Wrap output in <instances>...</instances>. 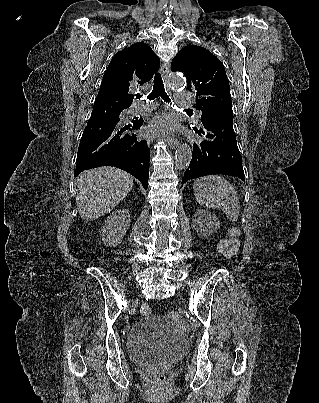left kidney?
Instances as JSON below:
<instances>
[{
  "label": "left kidney",
  "mask_w": 319,
  "mask_h": 403,
  "mask_svg": "<svg viewBox=\"0 0 319 403\" xmlns=\"http://www.w3.org/2000/svg\"><path fill=\"white\" fill-rule=\"evenodd\" d=\"M195 221L203 232L213 233L219 226L218 218L210 211L198 210L195 214Z\"/></svg>",
  "instance_id": "1"
}]
</instances>
